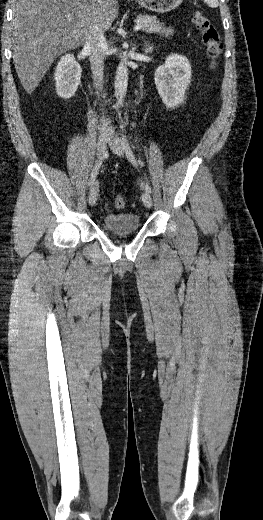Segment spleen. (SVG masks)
<instances>
[{"label": "spleen", "instance_id": "3e777b00", "mask_svg": "<svg viewBox=\"0 0 263 520\" xmlns=\"http://www.w3.org/2000/svg\"><path fill=\"white\" fill-rule=\"evenodd\" d=\"M206 4L211 8L218 7V0H205Z\"/></svg>", "mask_w": 263, "mask_h": 520}]
</instances>
